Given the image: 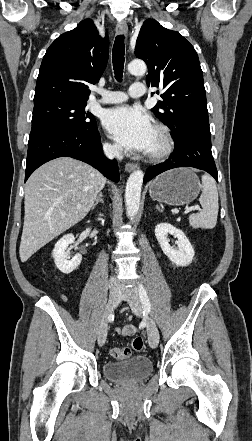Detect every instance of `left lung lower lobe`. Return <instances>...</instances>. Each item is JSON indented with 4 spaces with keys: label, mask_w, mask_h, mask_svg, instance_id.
<instances>
[{
    "label": "left lung lower lobe",
    "mask_w": 252,
    "mask_h": 441,
    "mask_svg": "<svg viewBox=\"0 0 252 441\" xmlns=\"http://www.w3.org/2000/svg\"><path fill=\"white\" fill-rule=\"evenodd\" d=\"M173 139L175 149L171 157L164 163L149 167L144 176V183L166 170L177 167H194L204 170L218 181L217 169L211 152L209 125L198 122L189 123Z\"/></svg>",
    "instance_id": "1"
}]
</instances>
